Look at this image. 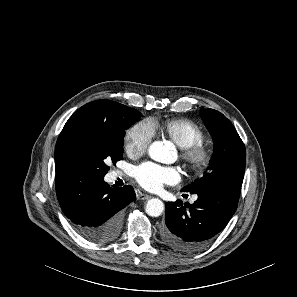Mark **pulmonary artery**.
I'll return each instance as SVG.
<instances>
[{
  "mask_svg": "<svg viewBox=\"0 0 297 297\" xmlns=\"http://www.w3.org/2000/svg\"><path fill=\"white\" fill-rule=\"evenodd\" d=\"M119 175H120L119 172H115V173H113V177H114V178L118 177Z\"/></svg>",
  "mask_w": 297,
  "mask_h": 297,
  "instance_id": "pulmonary-artery-1",
  "label": "pulmonary artery"
}]
</instances>
